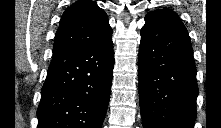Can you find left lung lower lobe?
Masks as SVG:
<instances>
[{
    "mask_svg": "<svg viewBox=\"0 0 221 128\" xmlns=\"http://www.w3.org/2000/svg\"><path fill=\"white\" fill-rule=\"evenodd\" d=\"M139 46V99L143 128H193L198 87L187 30L146 16Z\"/></svg>",
    "mask_w": 221,
    "mask_h": 128,
    "instance_id": "obj_1",
    "label": "left lung lower lobe"
}]
</instances>
